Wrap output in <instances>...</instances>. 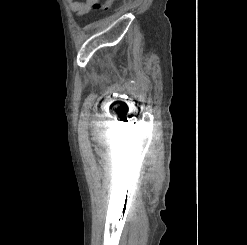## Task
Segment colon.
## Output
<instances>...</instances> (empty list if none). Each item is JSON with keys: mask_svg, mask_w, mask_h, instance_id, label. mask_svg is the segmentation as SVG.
<instances>
[{"mask_svg": "<svg viewBox=\"0 0 247 245\" xmlns=\"http://www.w3.org/2000/svg\"><path fill=\"white\" fill-rule=\"evenodd\" d=\"M113 0H96L92 5L93 9L102 10L107 9L112 4Z\"/></svg>", "mask_w": 247, "mask_h": 245, "instance_id": "1", "label": "colon"}]
</instances>
